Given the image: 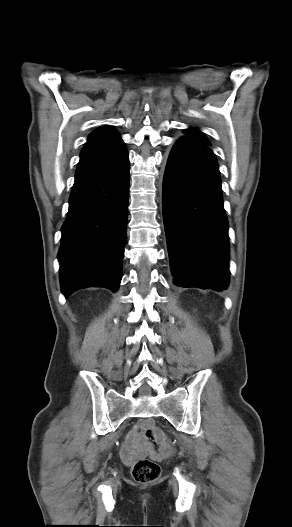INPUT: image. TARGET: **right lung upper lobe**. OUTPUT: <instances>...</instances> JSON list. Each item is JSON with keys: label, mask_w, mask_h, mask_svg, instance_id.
Returning <instances> with one entry per match:
<instances>
[{"label": "right lung upper lobe", "mask_w": 292, "mask_h": 527, "mask_svg": "<svg viewBox=\"0 0 292 527\" xmlns=\"http://www.w3.org/2000/svg\"><path fill=\"white\" fill-rule=\"evenodd\" d=\"M120 140V136L116 131L111 127L104 126L89 136L86 145L112 144Z\"/></svg>", "instance_id": "obj_1"}]
</instances>
